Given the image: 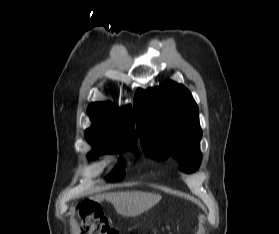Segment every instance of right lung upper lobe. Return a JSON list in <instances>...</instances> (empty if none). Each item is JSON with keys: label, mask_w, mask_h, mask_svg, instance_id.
Listing matches in <instances>:
<instances>
[{"label": "right lung upper lobe", "mask_w": 279, "mask_h": 234, "mask_svg": "<svg viewBox=\"0 0 279 234\" xmlns=\"http://www.w3.org/2000/svg\"><path fill=\"white\" fill-rule=\"evenodd\" d=\"M88 114L92 126L85 131L86 139L105 144H130L137 140L130 105L118 108L111 103H91ZM136 146V145H135Z\"/></svg>", "instance_id": "obj_1"}]
</instances>
